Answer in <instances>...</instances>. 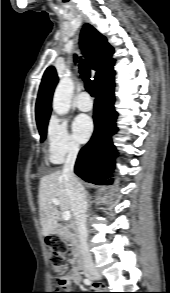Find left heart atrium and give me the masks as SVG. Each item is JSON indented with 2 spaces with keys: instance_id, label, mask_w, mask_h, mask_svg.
Returning a JSON list of instances; mask_svg holds the SVG:
<instances>
[{
  "instance_id": "39dd6f15",
  "label": "left heart atrium",
  "mask_w": 170,
  "mask_h": 293,
  "mask_svg": "<svg viewBox=\"0 0 170 293\" xmlns=\"http://www.w3.org/2000/svg\"><path fill=\"white\" fill-rule=\"evenodd\" d=\"M73 134L79 142H86L93 133V122L87 115H78L73 121Z\"/></svg>"
}]
</instances>
